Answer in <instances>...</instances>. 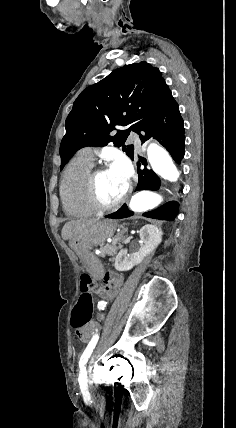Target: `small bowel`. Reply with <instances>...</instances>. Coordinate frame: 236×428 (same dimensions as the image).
<instances>
[{
	"label": "small bowel",
	"mask_w": 236,
	"mask_h": 428,
	"mask_svg": "<svg viewBox=\"0 0 236 428\" xmlns=\"http://www.w3.org/2000/svg\"><path fill=\"white\" fill-rule=\"evenodd\" d=\"M123 278L120 274L110 272L104 277V286L99 290V295L102 300L97 304L98 317H103V312L109 302H111L118 294L122 286ZM94 331V326L89 325L82 330L76 331L82 341H87Z\"/></svg>",
	"instance_id": "1"
}]
</instances>
